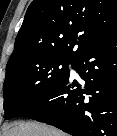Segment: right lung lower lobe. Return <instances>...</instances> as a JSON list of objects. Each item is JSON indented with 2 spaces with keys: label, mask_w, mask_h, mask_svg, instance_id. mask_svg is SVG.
<instances>
[{
  "label": "right lung lower lobe",
  "mask_w": 117,
  "mask_h": 136,
  "mask_svg": "<svg viewBox=\"0 0 117 136\" xmlns=\"http://www.w3.org/2000/svg\"><path fill=\"white\" fill-rule=\"evenodd\" d=\"M84 84L66 77L27 102L15 117H28L73 136H117V34L72 62Z\"/></svg>",
  "instance_id": "right-lung-lower-lobe-1"
}]
</instances>
